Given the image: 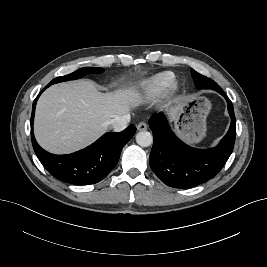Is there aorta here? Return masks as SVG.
I'll use <instances>...</instances> for the list:
<instances>
[{"label": "aorta", "mask_w": 267, "mask_h": 267, "mask_svg": "<svg viewBox=\"0 0 267 267\" xmlns=\"http://www.w3.org/2000/svg\"><path fill=\"white\" fill-rule=\"evenodd\" d=\"M136 142L142 147H148L153 142L152 134L148 131H140L136 135Z\"/></svg>", "instance_id": "obj_1"}]
</instances>
